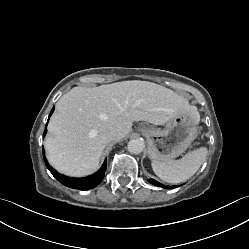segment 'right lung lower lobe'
Listing matches in <instances>:
<instances>
[{
	"label": "right lung lower lobe",
	"instance_id": "98d812e1",
	"mask_svg": "<svg viewBox=\"0 0 249 249\" xmlns=\"http://www.w3.org/2000/svg\"><path fill=\"white\" fill-rule=\"evenodd\" d=\"M54 111V107L51 110L50 114H49V118L51 116V114ZM48 118V120H49ZM47 127V124H46ZM47 130H44V134L43 137L45 136ZM45 153L44 149H43V154ZM44 161L46 163L47 168L49 169V171L52 173V175L62 184H64L67 187L73 188V189H79V190H87V189H91L96 187L103 179L104 177V173L106 171V167H107V162L105 160L103 166L101 167V169L96 172L95 174L86 177V178H70L64 175L59 174L55 169H53L47 162L46 157L44 156Z\"/></svg>",
	"mask_w": 249,
	"mask_h": 249
}]
</instances>
